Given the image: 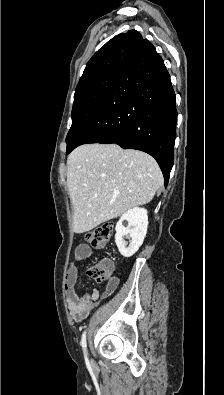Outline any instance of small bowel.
Segmentation results:
<instances>
[{
    "label": "small bowel",
    "mask_w": 224,
    "mask_h": 395,
    "mask_svg": "<svg viewBox=\"0 0 224 395\" xmlns=\"http://www.w3.org/2000/svg\"><path fill=\"white\" fill-rule=\"evenodd\" d=\"M93 254L92 248L87 244H80L75 251L76 261L68 266L66 276V294L67 305L71 317L74 321L80 322L88 317L91 309L96 306L101 298L98 290H93L90 294L79 295L76 292L75 286L79 274L78 261L91 257ZM118 279L113 277L108 281L106 289L102 296L107 297L111 295L118 286Z\"/></svg>",
    "instance_id": "obj_1"
}]
</instances>
